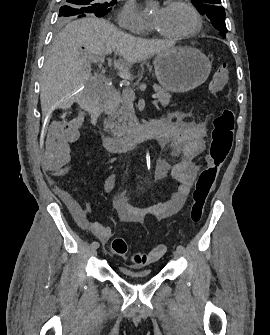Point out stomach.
Masks as SVG:
<instances>
[{
    "mask_svg": "<svg viewBox=\"0 0 270 335\" xmlns=\"http://www.w3.org/2000/svg\"><path fill=\"white\" fill-rule=\"evenodd\" d=\"M155 76L167 92H189L206 82L212 62L198 48L177 46L154 58Z\"/></svg>",
    "mask_w": 270,
    "mask_h": 335,
    "instance_id": "1",
    "label": "stomach"
}]
</instances>
